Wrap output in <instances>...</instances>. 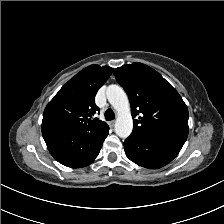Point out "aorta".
Here are the masks:
<instances>
[{"label":"aorta","instance_id":"1","mask_svg":"<svg viewBox=\"0 0 224 224\" xmlns=\"http://www.w3.org/2000/svg\"><path fill=\"white\" fill-rule=\"evenodd\" d=\"M106 96L117 112L115 133L120 138H127L133 129V119L128 97L122 87L114 84L107 87Z\"/></svg>","mask_w":224,"mask_h":224}]
</instances>
